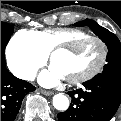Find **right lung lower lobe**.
I'll list each match as a JSON object with an SVG mask.
<instances>
[{
  "instance_id": "obj_1",
  "label": "right lung lower lobe",
  "mask_w": 121,
  "mask_h": 121,
  "mask_svg": "<svg viewBox=\"0 0 121 121\" xmlns=\"http://www.w3.org/2000/svg\"><path fill=\"white\" fill-rule=\"evenodd\" d=\"M5 65L4 58H1V121H14L24 96L35 87L16 78Z\"/></svg>"
}]
</instances>
